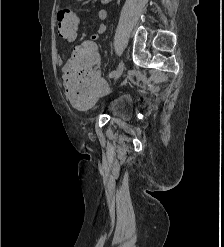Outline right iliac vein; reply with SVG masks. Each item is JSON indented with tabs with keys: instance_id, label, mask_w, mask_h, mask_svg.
<instances>
[{
	"instance_id": "63e3f726",
	"label": "right iliac vein",
	"mask_w": 224,
	"mask_h": 247,
	"mask_svg": "<svg viewBox=\"0 0 224 247\" xmlns=\"http://www.w3.org/2000/svg\"><path fill=\"white\" fill-rule=\"evenodd\" d=\"M123 70H124V63L120 62L118 68L115 70V74L113 76L114 80L118 79L122 75Z\"/></svg>"
}]
</instances>
